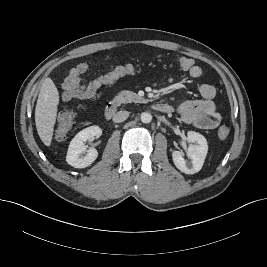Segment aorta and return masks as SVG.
<instances>
[{
    "label": "aorta",
    "mask_w": 267,
    "mask_h": 267,
    "mask_svg": "<svg viewBox=\"0 0 267 267\" xmlns=\"http://www.w3.org/2000/svg\"><path fill=\"white\" fill-rule=\"evenodd\" d=\"M140 118H141V121L143 123H146V124L147 123H150L152 121V115L149 112H143V113H141Z\"/></svg>",
    "instance_id": "762f6f07"
}]
</instances>
